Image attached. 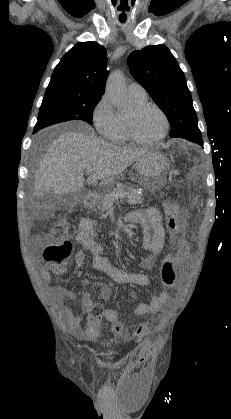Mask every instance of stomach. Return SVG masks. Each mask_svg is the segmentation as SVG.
Here are the masks:
<instances>
[{
  "mask_svg": "<svg viewBox=\"0 0 231 419\" xmlns=\"http://www.w3.org/2000/svg\"><path fill=\"white\" fill-rule=\"evenodd\" d=\"M136 169L144 188L154 192L164 185L169 163L162 153L149 151L136 160Z\"/></svg>",
  "mask_w": 231,
  "mask_h": 419,
  "instance_id": "1",
  "label": "stomach"
}]
</instances>
